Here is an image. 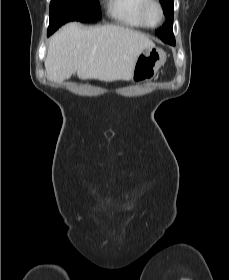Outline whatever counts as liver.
<instances>
[{"mask_svg": "<svg viewBox=\"0 0 229 280\" xmlns=\"http://www.w3.org/2000/svg\"><path fill=\"white\" fill-rule=\"evenodd\" d=\"M154 46L146 35L122 26L69 23L50 38L47 79L61 83L77 73L82 80L129 81L138 56Z\"/></svg>", "mask_w": 229, "mask_h": 280, "instance_id": "6515ba94", "label": "liver"}]
</instances>
